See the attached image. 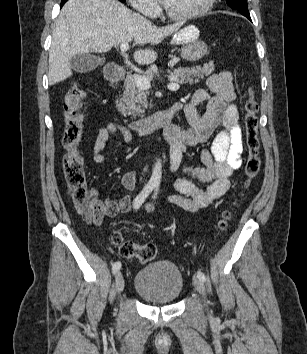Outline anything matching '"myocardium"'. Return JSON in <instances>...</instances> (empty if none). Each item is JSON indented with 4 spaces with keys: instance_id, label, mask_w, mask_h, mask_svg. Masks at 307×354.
I'll return each instance as SVG.
<instances>
[{
    "instance_id": "f54148a6",
    "label": "myocardium",
    "mask_w": 307,
    "mask_h": 354,
    "mask_svg": "<svg viewBox=\"0 0 307 354\" xmlns=\"http://www.w3.org/2000/svg\"><path fill=\"white\" fill-rule=\"evenodd\" d=\"M216 0H206L201 8L195 10L193 12L185 13V14H175L168 9V7L164 4V11L168 18L174 21H187L195 18H199L206 13H208L214 6Z\"/></svg>"
}]
</instances>
